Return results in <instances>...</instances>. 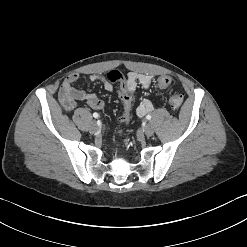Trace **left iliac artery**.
I'll list each match as a JSON object with an SVG mask.
<instances>
[{
    "mask_svg": "<svg viewBox=\"0 0 247 247\" xmlns=\"http://www.w3.org/2000/svg\"><path fill=\"white\" fill-rule=\"evenodd\" d=\"M151 118H152L151 115H147V116H146V119H147V120H150Z\"/></svg>",
    "mask_w": 247,
    "mask_h": 247,
    "instance_id": "left-iliac-artery-1",
    "label": "left iliac artery"
}]
</instances>
